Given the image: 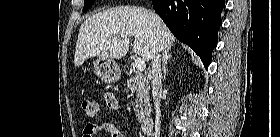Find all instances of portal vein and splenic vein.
Segmentation results:
<instances>
[{
    "label": "portal vein and splenic vein",
    "instance_id": "1",
    "mask_svg": "<svg viewBox=\"0 0 280 137\" xmlns=\"http://www.w3.org/2000/svg\"><path fill=\"white\" fill-rule=\"evenodd\" d=\"M134 65L138 72H142L145 70V61L142 58H136L134 61Z\"/></svg>",
    "mask_w": 280,
    "mask_h": 137
}]
</instances>
